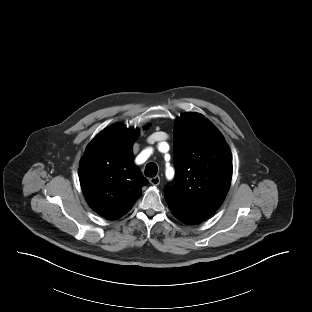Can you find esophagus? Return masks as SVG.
I'll return each mask as SVG.
<instances>
[{"mask_svg":"<svg viewBox=\"0 0 312 312\" xmlns=\"http://www.w3.org/2000/svg\"><path fill=\"white\" fill-rule=\"evenodd\" d=\"M150 183L154 186H157L160 184V177L159 176H155L149 179Z\"/></svg>","mask_w":312,"mask_h":312,"instance_id":"obj_1","label":"esophagus"}]
</instances>
